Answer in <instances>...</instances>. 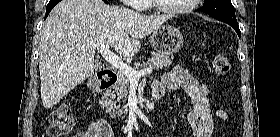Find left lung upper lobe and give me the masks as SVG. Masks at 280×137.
Here are the masks:
<instances>
[{
    "mask_svg": "<svg viewBox=\"0 0 280 137\" xmlns=\"http://www.w3.org/2000/svg\"><path fill=\"white\" fill-rule=\"evenodd\" d=\"M198 11L207 13L220 21L237 22L235 10L230 0H204V6Z\"/></svg>",
    "mask_w": 280,
    "mask_h": 137,
    "instance_id": "left-lung-upper-lobe-1",
    "label": "left lung upper lobe"
}]
</instances>
